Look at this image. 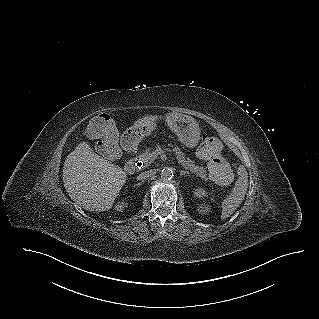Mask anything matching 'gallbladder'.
I'll return each instance as SVG.
<instances>
[{
  "instance_id": "1",
  "label": "gallbladder",
  "mask_w": 319,
  "mask_h": 319,
  "mask_svg": "<svg viewBox=\"0 0 319 319\" xmlns=\"http://www.w3.org/2000/svg\"><path fill=\"white\" fill-rule=\"evenodd\" d=\"M118 145L117 143H114V144H110L107 146V151L106 152V157L109 159V160H115L116 159V156L113 154V150H116L118 149Z\"/></svg>"
}]
</instances>
